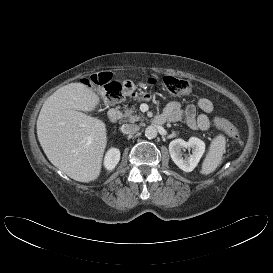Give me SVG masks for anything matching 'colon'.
<instances>
[{
	"mask_svg": "<svg viewBox=\"0 0 273 273\" xmlns=\"http://www.w3.org/2000/svg\"><path fill=\"white\" fill-rule=\"evenodd\" d=\"M104 87V95L109 100H118L122 96L121 83L113 80V74L110 72H100L93 74L86 82ZM152 85L157 84L156 80L150 82ZM163 84L166 89L173 95L183 96L190 91V84L186 80L178 79L171 76L163 78ZM214 125L223 130L232 140L239 142L241 137L238 129L227 119L216 118Z\"/></svg>",
	"mask_w": 273,
	"mask_h": 273,
	"instance_id": "1",
	"label": "colon"
}]
</instances>
